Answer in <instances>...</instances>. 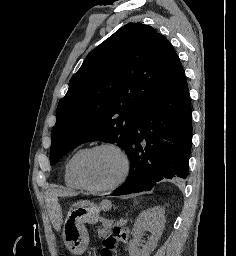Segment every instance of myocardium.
<instances>
[{
	"mask_svg": "<svg viewBox=\"0 0 236 256\" xmlns=\"http://www.w3.org/2000/svg\"><path fill=\"white\" fill-rule=\"evenodd\" d=\"M102 149H112L119 153V155L121 156V159H122V164H123L122 173H121L120 177L117 179V181L109 186L92 187L87 183V181L84 177V171H83L84 164H85V161L87 160V158L91 154L95 153L96 151L102 150ZM130 171H131V160H130L129 154L125 150V148L123 146H121L120 144H118L117 142H103V143H100V144L90 147L79 158L78 163H77V168H76V174H77L79 183L85 190H87L91 193H107V192H111V191L117 189L118 187H120L121 185H123L125 183V181L127 180L128 176L130 174Z\"/></svg>",
	"mask_w": 236,
	"mask_h": 256,
	"instance_id": "f54148a6",
	"label": "myocardium"
}]
</instances>
